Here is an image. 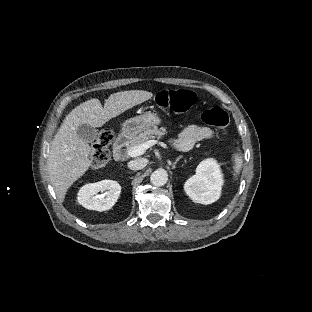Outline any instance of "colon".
<instances>
[{"label": "colon", "mask_w": 312, "mask_h": 312, "mask_svg": "<svg viewBox=\"0 0 312 312\" xmlns=\"http://www.w3.org/2000/svg\"><path fill=\"white\" fill-rule=\"evenodd\" d=\"M157 104L163 110L175 113H186L195 103L193 92L189 90H164L156 97ZM202 120L210 126L222 130L229 128V116L221 107H213L202 113ZM114 132L103 128L98 133L97 140L90 155V161L95 166L106 164L110 159V147L114 141Z\"/></svg>", "instance_id": "5ec220e1"}]
</instances>
